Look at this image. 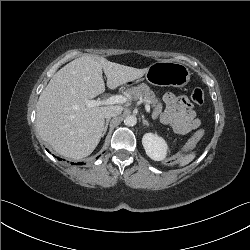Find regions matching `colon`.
Masks as SVG:
<instances>
[{"mask_svg": "<svg viewBox=\"0 0 250 250\" xmlns=\"http://www.w3.org/2000/svg\"><path fill=\"white\" fill-rule=\"evenodd\" d=\"M204 91L201 88H195L191 93V100L196 104H202L204 102ZM204 130L200 129L196 131L191 138L183 146L176 150L175 154L172 156H164L161 158L160 163L164 167L177 166L183 162L184 158L189 155L190 150L196 146V144L203 138Z\"/></svg>", "mask_w": 250, "mask_h": 250, "instance_id": "5ec220e1", "label": "colon"}]
</instances>
